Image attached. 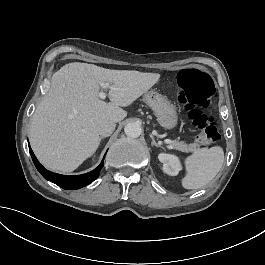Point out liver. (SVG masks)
<instances>
[{"mask_svg":"<svg viewBox=\"0 0 265 265\" xmlns=\"http://www.w3.org/2000/svg\"><path fill=\"white\" fill-rule=\"evenodd\" d=\"M158 73L116 71L71 62L51 79V86L31 119L29 137L37 158L48 169L72 172L98 149V121L120 122L131 106L160 79ZM110 83L107 103L100 85Z\"/></svg>","mask_w":265,"mask_h":265,"instance_id":"6515ba94","label":"liver"}]
</instances>
